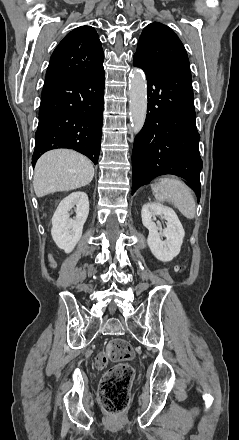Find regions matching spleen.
<instances>
[{
	"label": "spleen",
	"instance_id": "spleen-1",
	"mask_svg": "<svg viewBox=\"0 0 239 440\" xmlns=\"http://www.w3.org/2000/svg\"><path fill=\"white\" fill-rule=\"evenodd\" d=\"M152 192L157 202H172L175 208L188 218L193 220L196 214L195 200L193 190H190L184 182H180L174 176L171 178H160L157 184H151Z\"/></svg>",
	"mask_w": 239,
	"mask_h": 440
}]
</instances>
